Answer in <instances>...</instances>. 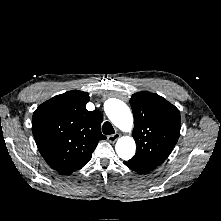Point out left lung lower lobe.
<instances>
[{"label": "left lung lower lobe", "mask_w": 221, "mask_h": 221, "mask_svg": "<svg viewBox=\"0 0 221 221\" xmlns=\"http://www.w3.org/2000/svg\"><path fill=\"white\" fill-rule=\"evenodd\" d=\"M124 164L130 169L136 171L137 173L144 174L154 170L156 167L150 164L142 163L130 159L129 161H124Z\"/></svg>", "instance_id": "obj_1"}]
</instances>
